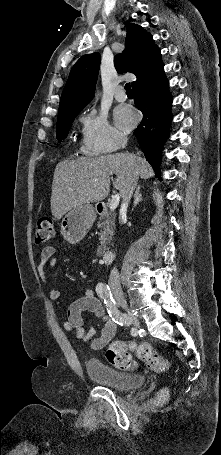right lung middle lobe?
<instances>
[{
	"label": "right lung middle lobe",
	"instance_id": "dd1d6c3e",
	"mask_svg": "<svg viewBox=\"0 0 221 455\" xmlns=\"http://www.w3.org/2000/svg\"><path fill=\"white\" fill-rule=\"evenodd\" d=\"M79 112L66 113L57 117V132L56 137L59 141L67 137L68 131L72 125L74 118Z\"/></svg>",
	"mask_w": 221,
	"mask_h": 455
}]
</instances>
